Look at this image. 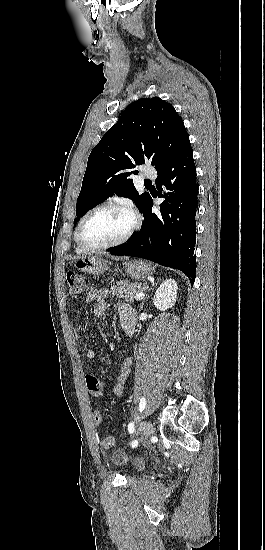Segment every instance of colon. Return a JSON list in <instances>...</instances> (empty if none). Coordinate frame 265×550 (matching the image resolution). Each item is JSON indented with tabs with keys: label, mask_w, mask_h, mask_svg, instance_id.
I'll return each mask as SVG.
<instances>
[{
	"label": "colon",
	"mask_w": 265,
	"mask_h": 550,
	"mask_svg": "<svg viewBox=\"0 0 265 550\" xmlns=\"http://www.w3.org/2000/svg\"><path fill=\"white\" fill-rule=\"evenodd\" d=\"M65 280L67 284V292L71 297H78L82 295L88 289V280L79 272L75 270H69L66 272ZM86 385L90 394L98 398L101 395V386L99 380L92 375L86 377ZM93 419L99 421L101 414L99 411L93 413ZM114 445L113 436L107 435L102 439V446L104 448H111Z\"/></svg>",
	"instance_id": "obj_1"
}]
</instances>
